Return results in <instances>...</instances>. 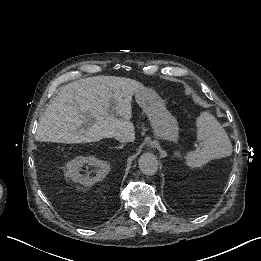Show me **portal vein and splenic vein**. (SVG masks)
<instances>
[{
    "mask_svg": "<svg viewBox=\"0 0 261 261\" xmlns=\"http://www.w3.org/2000/svg\"><path fill=\"white\" fill-rule=\"evenodd\" d=\"M109 115H110V116H114V113H110ZM86 125H87V126H90V125H92V123H91V122H88V123H86Z\"/></svg>",
    "mask_w": 261,
    "mask_h": 261,
    "instance_id": "portal-vein-and-splenic-vein-1",
    "label": "portal vein and splenic vein"
}]
</instances>
